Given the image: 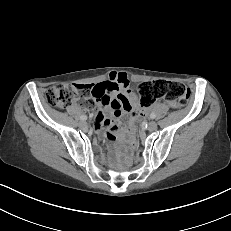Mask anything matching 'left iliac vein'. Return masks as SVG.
<instances>
[{"mask_svg": "<svg viewBox=\"0 0 231 231\" xmlns=\"http://www.w3.org/2000/svg\"><path fill=\"white\" fill-rule=\"evenodd\" d=\"M157 127H158V125H157V123L155 121H151L148 124V130H150V131L156 130Z\"/></svg>", "mask_w": 231, "mask_h": 231, "instance_id": "1", "label": "left iliac vein"}]
</instances>
